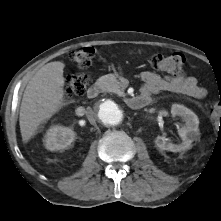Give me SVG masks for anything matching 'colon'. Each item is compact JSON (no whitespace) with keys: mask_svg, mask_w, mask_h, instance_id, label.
Masks as SVG:
<instances>
[{"mask_svg":"<svg viewBox=\"0 0 221 221\" xmlns=\"http://www.w3.org/2000/svg\"><path fill=\"white\" fill-rule=\"evenodd\" d=\"M95 56V49L85 47L72 53V60L79 68H87L91 65ZM150 66L159 73H180L185 64V57L181 53L170 55L154 54L150 57ZM89 84V77L86 74H73L67 78L66 92L73 95L84 93ZM212 115L221 122V94L214 100Z\"/></svg>","mask_w":221,"mask_h":221,"instance_id":"1","label":"colon"}]
</instances>
